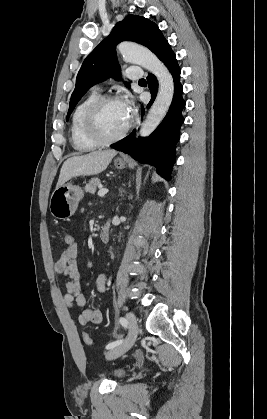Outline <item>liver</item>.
Segmentation results:
<instances>
[{
	"label": "liver",
	"mask_w": 267,
	"mask_h": 419,
	"mask_svg": "<svg viewBox=\"0 0 267 419\" xmlns=\"http://www.w3.org/2000/svg\"><path fill=\"white\" fill-rule=\"evenodd\" d=\"M116 154L115 150H98L67 159L60 170L56 188L73 177L93 175L104 171Z\"/></svg>",
	"instance_id": "1"
}]
</instances>
